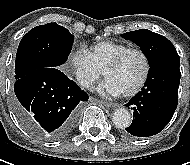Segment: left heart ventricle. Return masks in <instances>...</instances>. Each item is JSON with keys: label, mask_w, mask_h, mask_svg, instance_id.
I'll return each mask as SVG.
<instances>
[{"label": "left heart ventricle", "mask_w": 190, "mask_h": 165, "mask_svg": "<svg viewBox=\"0 0 190 165\" xmlns=\"http://www.w3.org/2000/svg\"><path fill=\"white\" fill-rule=\"evenodd\" d=\"M144 71V61L139 54L133 53L114 69L107 72L106 78L111 80L124 92L131 89L140 80Z\"/></svg>", "instance_id": "obj_1"}]
</instances>
